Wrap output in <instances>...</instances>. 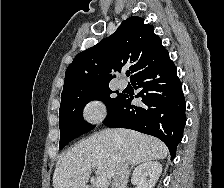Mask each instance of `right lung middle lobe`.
<instances>
[{
	"label": "right lung middle lobe",
	"mask_w": 224,
	"mask_h": 188,
	"mask_svg": "<svg viewBox=\"0 0 224 188\" xmlns=\"http://www.w3.org/2000/svg\"><path fill=\"white\" fill-rule=\"evenodd\" d=\"M112 93L113 91L110 90L109 86L104 85L61 94L59 109L61 139L59 149L94 128V126L84 121L82 116L83 108L89 101H103L107 106L109 115L124 96V94H119L116 98H112L110 96Z\"/></svg>",
	"instance_id": "right-lung-middle-lobe-1"
}]
</instances>
